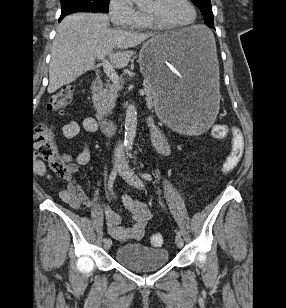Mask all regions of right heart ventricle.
Instances as JSON below:
<instances>
[{"label": "right heart ventricle", "mask_w": 286, "mask_h": 308, "mask_svg": "<svg viewBox=\"0 0 286 308\" xmlns=\"http://www.w3.org/2000/svg\"><path fill=\"white\" fill-rule=\"evenodd\" d=\"M136 29H142V30L155 29V27H153L144 17L142 21L140 22V24L136 27Z\"/></svg>", "instance_id": "1"}]
</instances>
